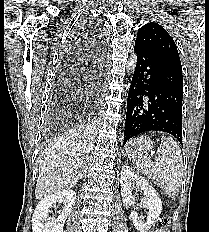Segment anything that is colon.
I'll return each mask as SVG.
<instances>
[{"label":"colon","instance_id":"1","mask_svg":"<svg viewBox=\"0 0 209 232\" xmlns=\"http://www.w3.org/2000/svg\"><path fill=\"white\" fill-rule=\"evenodd\" d=\"M170 224V218L168 215L161 216L157 221V229L155 232H166V228Z\"/></svg>","mask_w":209,"mask_h":232}]
</instances>
